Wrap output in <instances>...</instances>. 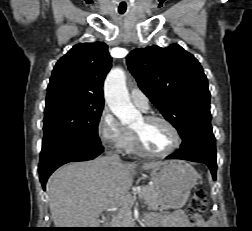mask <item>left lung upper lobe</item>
I'll return each instance as SVG.
<instances>
[{"instance_id":"obj_1","label":"left lung upper lobe","mask_w":252,"mask_h":231,"mask_svg":"<svg viewBox=\"0 0 252 231\" xmlns=\"http://www.w3.org/2000/svg\"><path fill=\"white\" fill-rule=\"evenodd\" d=\"M127 65L182 139L193 131L212 130L207 78L192 54L178 44L153 45L130 52Z\"/></svg>"}]
</instances>
